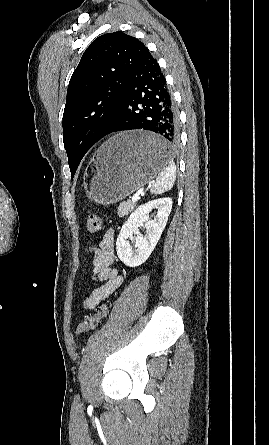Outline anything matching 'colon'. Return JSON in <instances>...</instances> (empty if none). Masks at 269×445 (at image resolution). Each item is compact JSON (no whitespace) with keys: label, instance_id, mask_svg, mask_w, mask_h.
Returning <instances> with one entry per match:
<instances>
[{"label":"colon","instance_id":"colon-1","mask_svg":"<svg viewBox=\"0 0 269 445\" xmlns=\"http://www.w3.org/2000/svg\"><path fill=\"white\" fill-rule=\"evenodd\" d=\"M102 228V219L96 214H90L87 218V230L89 233L95 234ZM108 314V306L101 305L97 307L96 312L92 315L86 316L75 328V334L80 335L82 333L95 330L102 319Z\"/></svg>","mask_w":269,"mask_h":445}]
</instances>
